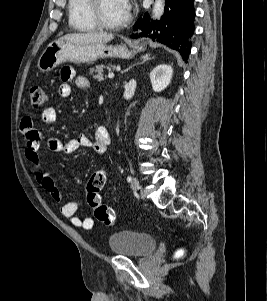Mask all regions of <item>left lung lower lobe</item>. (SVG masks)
<instances>
[{
  "instance_id": "obj_1",
  "label": "left lung lower lobe",
  "mask_w": 267,
  "mask_h": 301,
  "mask_svg": "<svg viewBox=\"0 0 267 301\" xmlns=\"http://www.w3.org/2000/svg\"><path fill=\"white\" fill-rule=\"evenodd\" d=\"M195 9L193 0H166L165 13L162 18L149 21L145 13L133 27L136 34L132 38H151L181 53L187 62L191 44L189 38L194 33Z\"/></svg>"
}]
</instances>
